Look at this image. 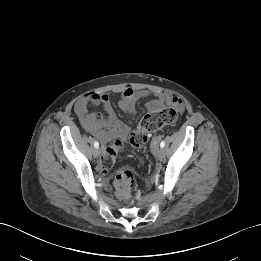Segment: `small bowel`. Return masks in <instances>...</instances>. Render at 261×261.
Wrapping results in <instances>:
<instances>
[{"label":"small bowel","mask_w":261,"mask_h":261,"mask_svg":"<svg viewBox=\"0 0 261 261\" xmlns=\"http://www.w3.org/2000/svg\"><path fill=\"white\" fill-rule=\"evenodd\" d=\"M144 98H151L146 104L148 112L160 110L165 104L172 105L178 111L183 110V101L175 93H152L130 87L121 92L119 107L123 112L132 114L138 101ZM91 105L101 106L103 113L90 111ZM75 111L84 128L103 143L117 138L126 139L131 133L130 128L117 118L110 98L106 94L89 93L82 96L75 104Z\"/></svg>","instance_id":"1"}]
</instances>
